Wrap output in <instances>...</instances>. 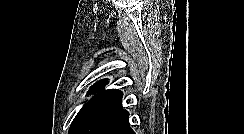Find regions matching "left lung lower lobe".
<instances>
[{"mask_svg":"<svg viewBox=\"0 0 244 134\" xmlns=\"http://www.w3.org/2000/svg\"><path fill=\"white\" fill-rule=\"evenodd\" d=\"M129 113L126 110H119L103 124L93 134H135L129 125Z\"/></svg>","mask_w":244,"mask_h":134,"instance_id":"left-lung-lower-lobe-1","label":"left lung lower lobe"}]
</instances>
